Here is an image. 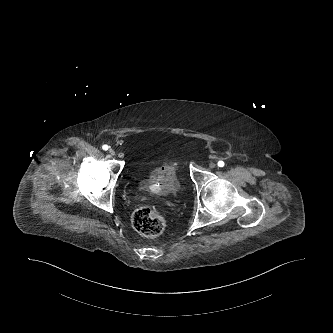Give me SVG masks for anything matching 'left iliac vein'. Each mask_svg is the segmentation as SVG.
Wrapping results in <instances>:
<instances>
[{
	"mask_svg": "<svg viewBox=\"0 0 333 333\" xmlns=\"http://www.w3.org/2000/svg\"><path fill=\"white\" fill-rule=\"evenodd\" d=\"M209 167H210V168H215V167H216V164H215V163H210Z\"/></svg>",
	"mask_w": 333,
	"mask_h": 333,
	"instance_id": "1",
	"label": "left iliac vein"
}]
</instances>
